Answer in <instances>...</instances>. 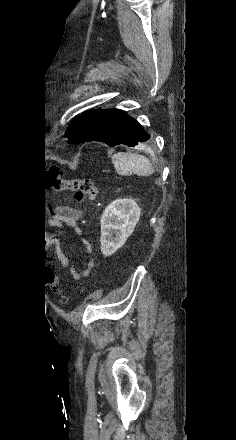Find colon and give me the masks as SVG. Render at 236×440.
I'll return each mask as SVG.
<instances>
[{"instance_id":"5ec220e1","label":"colon","mask_w":236,"mask_h":440,"mask_svg":"<svg viewBox=\"0 0 236 440\" xmlns=\"http://www.w3.org/2000/svg\"><path fill=\"white\" fill-rule=\"evenodd\" d=\"M47 182L48 187L52 190L74 193L79 202L91 201L98 194L97 186L92 178L64 179L61 170L56 166H51L48 169ZM45 283L46 285H57L58 278L57 276H46ZM55 291H58V289L55 288Z\"/></svg>"}]
</instances>
